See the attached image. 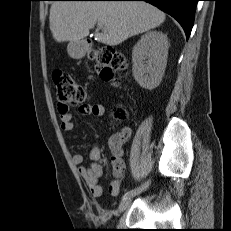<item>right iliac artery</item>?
<instances>
[{"label":"right iliac artery","instance_id":"82829eb1","mask_svg":"<svg viewBox=\"0 0 231 231\" xmlns=\"http://www.w3.org/2000/svg\"><path fill=\"white\" fill-rule=\"evenodd\" d=\"M137 189H133V190H130L128 192H126L124 195H123V199L126 198V197H129L131 195H133L135 192H136Z\"/></svg>","mask_w":231,"mask_h":231}]
</instances>
